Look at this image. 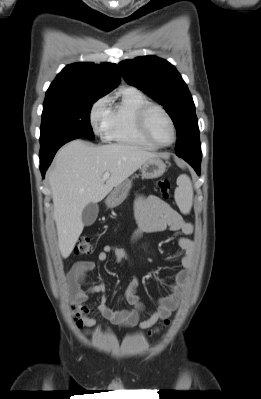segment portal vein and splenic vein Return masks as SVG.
<instances>
[{"label":"portal vein and splenic vein","mask_w":261,"mask_h":399,"mask_svg":"<svg viewBox=\"0 0 261 399\" xmlns=\"http://www.w3.org/2000/svg\"><path fill=\"white\" fill-rule=\"evenodd\" d=\"M109 176H110V173H109V172H105L104 175H103V177H102V179H103V180H106V179L109 178Z\"/></svg>","instance_id":"portal-vein-and-splenic-vein-1"}]
</instances>
